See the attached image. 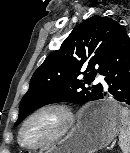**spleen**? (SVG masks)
<instances>
[{
  "instance_id": "1",
  "label": "spleen",
  "mask_w": 130,
  "mask_h": 153,
  "mask_svg": "<svg viewBox=\"0 0 130 153\" xmlns=\"http://www.w3.org/2000/svg\"><path fill=\"white\" fill-rule=\"evenodd\" d=\"M121 123L119 146L123 153H130V110L122 107L120 108Z\"/></svg>"
}]
</instances>
